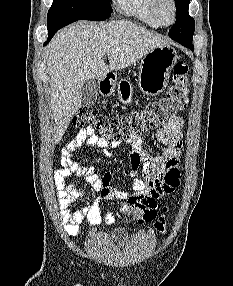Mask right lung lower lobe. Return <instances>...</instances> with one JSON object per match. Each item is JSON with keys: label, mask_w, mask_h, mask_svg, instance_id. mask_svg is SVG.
<instances>
[{"label": "right lung lower lobe", "mask_w": 233, "mask_h": 286, "mask_svg": "<svg viewBox=\"0 0 233 286\" xmlns=\"http://www.w3.org/2000/svg\"><path fill=\"white\" fill-rule=\"evenodd\" d=\"M74 21L72 20H62L57 23H54L52 25H48V39L45 45L51 40V38L54 36V34L61 29L62 27L72 23Z\"/></svg>", "instance_id": "right-lung-lower-lobe-1"}]
</instances>
